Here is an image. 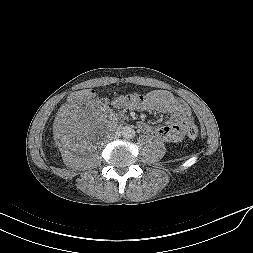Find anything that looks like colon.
Segmentation results:
<instances>
[{
  "label": "colon",
  "mask_w": 253,
  "mask_h": 253,
  "mask_svg": "<svg viewBox=\"0 0 253 253\" xmlns=\"http://www.w3.org/2000/svg\"><path fill=\"white\" fill-rule=\"evenodd\" d=\"M96 91L94 89L88 90H79L72 92L67 96L68 102H73L79 98H90L91 96L95 95ZM199 130L195 125H190L187 129V135L189 138H196L198 136Z\"/></svg>",
  "instance_id": "colon-1"
}]
</instances>
